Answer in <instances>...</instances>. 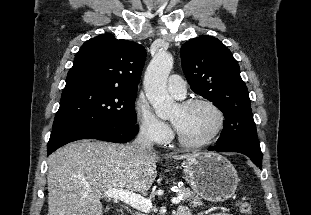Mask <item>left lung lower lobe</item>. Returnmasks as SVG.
Returning <instances> with one entry per match:
<instances>
[{"instance_id":"left-lung-lower-lobe-1","label":"left lung lower lobe","mask_w":311,"mask_h":215,"mask_svg":"<svg viewBox=\"0 0 311 215\" xmlns=\"http://www.w3.org/2000/svg\"><path fill=\"white\" fill-rule=\"evenodd\" d=\"M209 150H215L217 152H239L247 155L257 167L261 168L262 166L263 155L260 145L257 142L234 140L210 147Z\"/></svg>"}]
</instances>
